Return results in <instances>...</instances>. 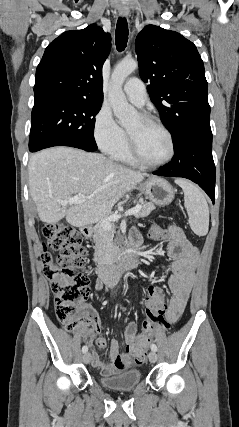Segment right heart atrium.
I'll return each instance as SVG.
<instances>
[{
	"mask_svg": "<svg viewBox=\"0 0 239 427\" xmlns=\"http://www.w3.org/2000/svg\"><path fill=\"white\" fill-rule=\"evenodd\" d=\"M93 136L99 149L112 156L126 143L124 130L115 121L112 112L102 107L94 119Z\"/></svg>",
	"mask_w": 239,
	"mask_h": 427,
	"instance_id": "right-heart-atrium-1",
	"label": "right heart atrium"
}]
</instances>
